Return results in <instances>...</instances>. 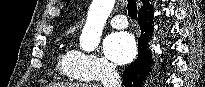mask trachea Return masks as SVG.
Wrapping results in <instances>:
<instances>
[{"instance_id":"trachea-1","label":"trachea","mask_w":205,"mask_h":87,"mask_svg":"<svg viewBox=\"0 0 205 87\" xmlns=\"http://www.w3.org/2000/svg\"><path fill=\"white\" fill-rule=\"evenodd\" d=\"M128 15L134 19L137 20V5L136 0H128Z\"/></svg>"}]
</instances>
